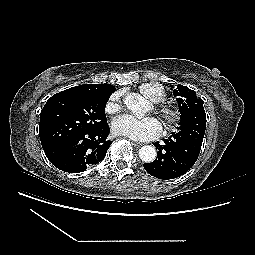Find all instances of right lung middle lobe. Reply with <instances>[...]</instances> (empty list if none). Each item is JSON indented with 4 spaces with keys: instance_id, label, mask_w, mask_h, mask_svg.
Wrapping results in <instances>:
<instances>
[{
    "instance_id": "1",
    "label": "right lung middle lobe",
    "mask_w": 255,
    "mask_h": 255,
    "mask_svg": "<svg viewBox=\"0 0 255 255\" xmlns=\"http://www.w3.org/2000/svg\"><path fill=\"white\" fill-rule=\"evenodd\" d=\"M109 95L57 93L43 107L39 134L45 154L52 156L72 137L103 127Z\"/></svg>"
}]
</instances>
